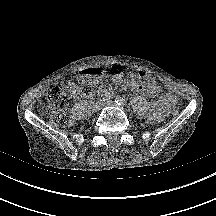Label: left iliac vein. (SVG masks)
Instances as JSON below:
<instances>
[{
	"label": "left iliac vein",
	"mask_w": 216,
	"mask_h": 216,
	"mask_svg": "<svg viewBox=\"0 0 216 216\" xmlns=\"http://www.w3.org/2000/svg\"><path fill=\"white\" fill-rule=\"evenodd\" d=\"M105 106H115V103L113 101H106L104 102Z\"/></svg>",
	"instance_id": "obj_1"
}]
</instances>
